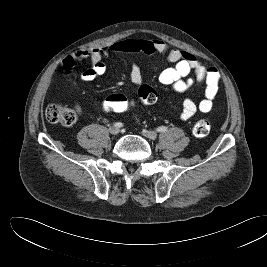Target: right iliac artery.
Here are the masks:
<instances>
[{"label": "right iliac artery", "mask_w": 267, "mask_h": 267, "mask_svg": "<svg viewBox=\"0 0 267 267\" xmlns=\"http://www.w3.org/2000/svg\"><path fill=\"white\" fill-rule=\"evenodd\" d=\"M114 126H116V127H119V128H120V127H122V126H123V124H122L121 122H117V123H115V124H114Z\"/></svg>", "instance_id": "82829eb1"}]
</instances>
